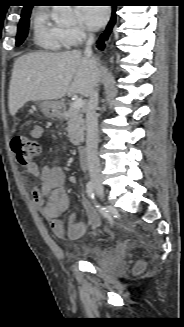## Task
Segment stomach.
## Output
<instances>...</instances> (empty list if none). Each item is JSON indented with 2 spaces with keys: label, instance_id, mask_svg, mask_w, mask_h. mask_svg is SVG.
<instances>
[{
  "label": "stomach",
  "instance_id": "0dacf381",
  "mask_svg": "<svg viewBox=\"0 0 184 327\" xmlns=\"http://www.w3.org/2000/svg\"><path fill=\"white\" fill-rule=\"evenodd\" d=\"M41 111L47 117H58L61 115V105L56 101H43L40 103Z\"/></svg>",
  "mask_w": 184,
  "mask_h": 327
}]
</instances>
